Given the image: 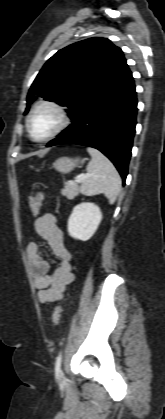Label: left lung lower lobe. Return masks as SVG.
Listing matches in <instances>:
<instances>
[{"instance_id":"0a47b994","label":"left lung lower lobe","mask_w":165,"mask_h":419,"mask_svg":"<svg viewBox=\"0 0 165 419\" xmlns=\"http://www.w3.org/2000/svg\"><path fill=\"white\" fill-rule=\"evenodd\" d=\"M136 114L135 85L127 66L89 97L72 117V124L46 146L71 143L96 148L113 162L125 183Z\"/></svg>"}]
</instances>
